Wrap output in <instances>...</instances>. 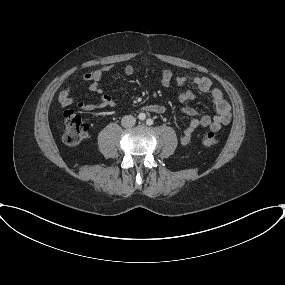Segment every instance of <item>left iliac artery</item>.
I'll return each instance as SVG.
<instances>
[{
  "mask_svg": "<svg viewBox=\"0 0 285 285\" xmlns=\"http://www.w3.org/2000/svg\"><path fill=\"white\" fill-rule=\"evenodd\" d=\"M146 123H147V125H152L153 124V120L149 118V119H147Z\"/></svg>",
  "mask_w": 285,
  "mask_h": 285,
  "instance_id": "left-iliac-artery-1",
  "label": "left iliac artery"
}]
</instances>
